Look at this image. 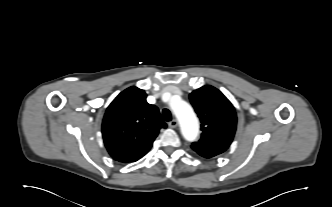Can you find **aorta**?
I'll list each match as a JSON object with an SVG mask.
<instances>
[{"label":"aorta","mask_w":332,"mask_h":207,"mask_svg":"<svg viewBox=\"0 0 332 207\" xmlns=\"http://www.w3.org/2000/svg\"><path fill=\"white\" fill-rule=\"evenodd\" d=\"M170 107L180 123L183 137L194 141L199 132V123L192 107L180 97L172 98Z\"/></svg>","instance_id":"aorta-1"}]
</instances>
